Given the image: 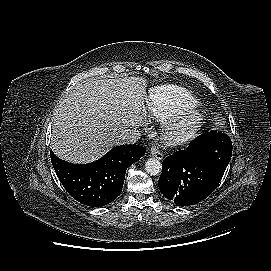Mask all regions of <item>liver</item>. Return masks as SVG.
<instances>
[{"instance_id": "6515ba94", "label": "liver", "mask_w": 271, "mask_h": 271, "mask_svg": "<svg viewBox=\"0 0 271 271\" xmlns=\"http://www.w3.org/2000/svg\"><path fill=\"white\" fill-rule=\"evenodd\" d=\"M146 86L142 77L89 78L78 83L55 107L53 152L79 164L102 157L121 132L142 123Z\"/></svg>"}]
</instances>
